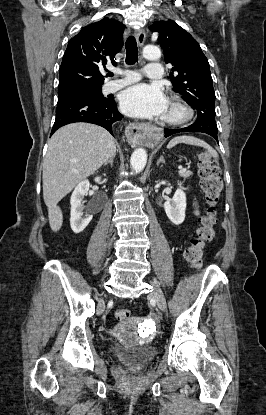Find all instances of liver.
Masks as SVG:
<instances>
[{
	"instance_id": "1",
	"label": "liver",
	"mask_w": 266,
	"mask_h": 415,
	"mask_svg": "<svg viewBox=\"0 0 266 415\" xmlns=\"http://www.w3.org/2000/svg\"><path fill=\"white\" fill-rule=\"evenodd\" d=\"M115 154V139L98 125L72 123L53 134L42 176L43 198L52 231L57 232L63 223L58 202Z\"/></svg>"
}]
</instances>
